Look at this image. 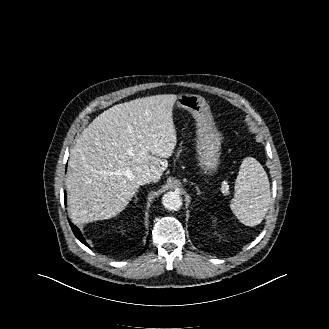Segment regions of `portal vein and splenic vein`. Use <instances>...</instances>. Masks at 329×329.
<instances>
[{"label":"portal vein and splenic vein","mask_w":329,"mask_h":329,"mask_svg":"<svg viewBox=\"0 0 329 329\" xmlns=\"http://www.w3.org/2000/svg\"><path fill=\"white\" fill-rule=\"evenodd\" d=\"M221 189H222V192L223 193H225V194H228L229 193V191H228L229 190V186L228 185H223Z\"/></svg>","instance_id":"obj_1"}]
</instances>
